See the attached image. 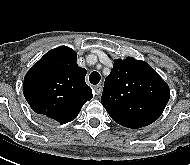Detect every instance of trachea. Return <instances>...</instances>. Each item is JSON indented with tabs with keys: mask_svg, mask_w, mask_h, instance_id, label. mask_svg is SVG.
Returning a JSON list of instances; mask_svg holds the SVG:
<instances>
[{
	"mask_svg": "<svg viewBox=\"0 0 190 165\" xmlns=\"http://www.w3.org/2000/svg\"><path fill=\"white\" fill-rule=\"evenodd\" d=\"M101 76L98 72L94 71L89 75V81L91 84L96 85L100 82Z\"/></svg>",
	"mask_w": 190,
	"mask_h": 165,
	"instance_id": "3493384b",
	"label": "trachea"
}]
</instances>
